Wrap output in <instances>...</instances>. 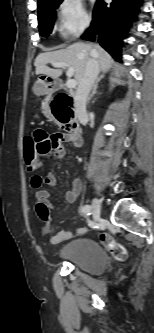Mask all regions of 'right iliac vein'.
I'll return each mask as SVG.
<instances>
[{"label": "right iliac vein", "instance_id": "1", "mask_svg": "<svg viewBox=\"0 0 154 333\" xmlns=\"http://www.w3.org/2000/svg\"><path fill=\"white\" fill-rule=\"evenodd\" d=\"M101 213V202L95 198L92 203V215L94 220H98Z\"/></svg>", "mask_w": 154, "mask_h": 333}]
</instances>
